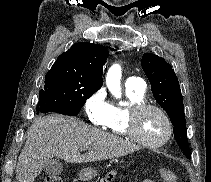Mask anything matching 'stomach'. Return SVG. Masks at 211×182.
I'll return each instance as SVG.
<instances>
[{"instance_id":"obj_1","label":"stomach","mask_w":211,"mask_h":182,"mask_svg":"<svg viewBox=\"0 0 211 182\" xmlns=\"http://www.w3.org/2000/svg\"><path fill=\"white\" fill-rule=\"evenodd\" d=\"M96 175H97V171L95 169L85 168L80 172L79 178L83 181L85 180L88 181V180L93 179Z\"/></svg>"}]
</instances>
